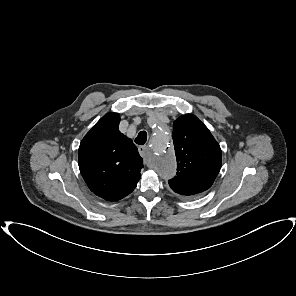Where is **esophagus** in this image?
<instances>
[{"instance_id": "obj_1", "label": "esophagus", "mask_w": 296, "mask_h": 296, "mask_svg": "<svg viewBox=\"0 0 296 296\" xmlns=\"http://www.w3.org/2000/svg\"><path fill=\"white\" fill-rule=\"evenodd\" d=\"M147 150H148V147L147 146H139L138 147V151H139V154L144 157L147 153Z\"/></svg>"}]
</instances>
